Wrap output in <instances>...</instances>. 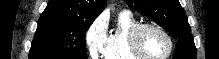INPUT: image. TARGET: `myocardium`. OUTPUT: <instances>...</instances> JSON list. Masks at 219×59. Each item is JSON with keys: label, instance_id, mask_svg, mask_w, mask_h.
<instances>
[{"label": "myocardium", "instance_id": "obj_1", "mask_svg": "<svg viewBox=\"0 0 219 59\" xmlns=\"http://www.w3.org/2000/svg\"><path fill=\"white\" fill-rule=\"evenodd\" d=\"M148 28H152V29L159 31L167 39L168 44H169V49L164 56L150 57L143 52V50L141 48V44H140V38H141L142 32ZM129 47H130V51L139 59H168L173 52L174 41H173L171 35L169 34V32L165 28H163L162 26H160L156 23H153V22H145V23L137 24L132 29L130 36H129Z\"/></svg>", "mask_w": 219, "mask_h": 59}]
</instances>
